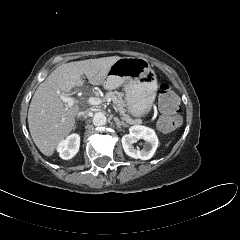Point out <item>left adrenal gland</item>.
<instances>
[{
    "instance_id": "a2214340",
    "label": "left adrenal gland",
    "mask_w": 240,
    "mask_h": 240,
    "mask_svg": "<svg viewBox=\"0 0 240 240\" xmlns=\"http://www.w3.org/2000/svg\"><path fill=\"white\" fill-rule=\"evenodd\" d=\"M114 121L116 122L118 128H121V126L128 127L124 121H120L117 117H114Z\"/></svg>"
}]
</instances>
